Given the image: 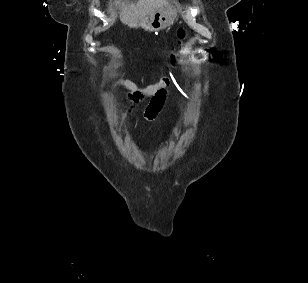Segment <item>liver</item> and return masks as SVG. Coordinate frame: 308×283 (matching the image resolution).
Listing matches in <instances>:
<instances>
[{
	"label": "liver",
	"instance_id": "obj_1",
	"mask_svg": "<svg viewBox=\"0 0 308 283\" xmlns=\"http://www.w3.org/2000/svg\"><path fill=\"white\" fill-rule=\"evenodd\" d=\"M113 3L120 7V20L126 25L171 5L170 0H138L137 3L132 4H126L123 0H114Z\"/></svg>",
	"mask_w": 308,
	"mask_h": 283
}]
</instances>
